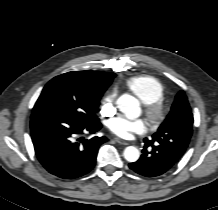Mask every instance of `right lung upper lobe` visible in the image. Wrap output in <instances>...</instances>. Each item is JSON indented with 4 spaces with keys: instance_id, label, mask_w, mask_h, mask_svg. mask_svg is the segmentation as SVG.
Instances as JSON below:
<instances>
[{
    "instance_id": "cb5924a9",
    "label": "right lung upper lobe",
    "mask_w": 218,
    "mask_h": 210,
    "mask_svg": "<svg viewBox=\"0 0 218 210\" xmlns=\"http://www.w3.org/2000/svg\"><path fill=\"white\" fill-rule=\"evenodd\" d=\"M87 91L103 92L111 84L115 73L102 71H72L61 75Z\"/></svg>"
}]
</instances>
